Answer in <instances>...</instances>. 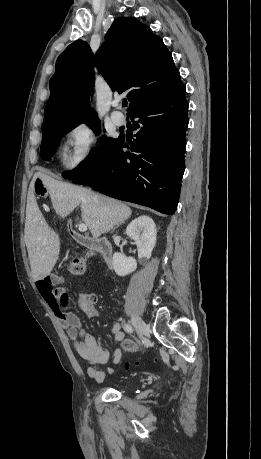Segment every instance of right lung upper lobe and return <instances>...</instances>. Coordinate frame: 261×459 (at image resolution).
Instances as JSON below:
<instances>
[{
    "mask_svg": "<svg viewBox=\"0 0 261 459\" xmlns=\"http://www.w3.org/2000/svg\"><path fill=\"white\" fill-rule=\"evenodd\" d=\"M105 40L96 55L97 68L113 91L128 92L130 112L165 96L182 82L162 39L137 19L118 18ZM93 66L91 49L81 40L60 54L49 83L42 131L97 119L88 103L94 87Z\"/></svg>",
    "mask_w": 261,
    "mask_h": 459,
    "instance_id": "cb5924a9",
    "label": "right lung upper lobe"
}]
</instances>
